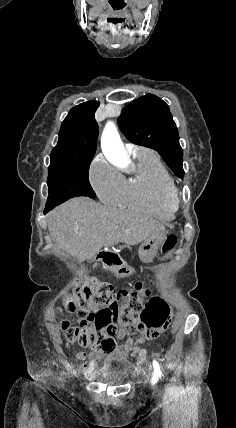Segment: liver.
I'll list each match as a JSON object with an SVG mask.
<instances>
[{
  "label": "liver",
  "instance_id": "6515ba94",
  "mask_svg": "<svg viewBox=\"0 0 236 428\" xmlns=\"http://www.w3.org/2000/svg\"><path fill=\"white\" fill-rule=\"evenodd\" d=\"M48 230L59 248L79 262L92 260L101 248L117 242L136 246L152 234H166L164 226L148 216L117 212L91 198H73L52 210Z\"/></svg>",
  "mask_w": 236,
  "mask_h": 428
}]
</instances>
